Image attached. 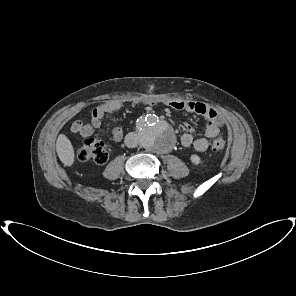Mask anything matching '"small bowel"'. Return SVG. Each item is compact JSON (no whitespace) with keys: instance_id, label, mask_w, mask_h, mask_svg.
I'll return each mask as SVG.
<instances>
[{"instance_id":"1","label":"small bowel","mask_w":296,"mask_h":296,"mask_svg":"<svg viewBox=\"0 0 296 296\" xmlns=\"http://www.w3.org/2000/svg\"><path fill=\"white\" fill-rule=\"evenodd\" d=\"M161 103L173 109L194 112L206 118L207 123L203 137L194 138L191 133V126L186 124L184 127L185 133H183L180 138V142L184 147H193L198 152H204L208 149L210 139L217 137L224 125L223 117L213 107L205 103L169 98L161 99ZM122 107L123 103L120 101L102 103L92 110L90 123L76 120L71 124L70 130L74 134H79L84 138H88L93 135L95 129L101 127L102 120L105 116L114 113ZM123 135L124 131L121 127H114L111 130V138L113 141H120Z\"/></svg>"}]
</instances>
